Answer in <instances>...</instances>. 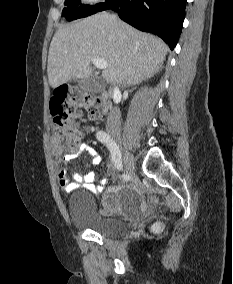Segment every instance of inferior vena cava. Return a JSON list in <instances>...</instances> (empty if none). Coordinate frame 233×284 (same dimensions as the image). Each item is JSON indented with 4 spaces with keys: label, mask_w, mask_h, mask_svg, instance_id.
Here are the masks:
<instances>
[{
    "label": "inferior vena cava",
    "mask_w": 233,
    "mask_h": 284,
    "mask_svg": "<svg viewBox=\"0 0 233 284\" xmlns=\"http://www.w3.org/2000/svg\"><path fill=\"white\" fill-rule=\"evenodd\" d=\"M121 113L120 110L117 108H114L110 111L107 125L110 129L118 130L121 125Z\"/></svg>",
    "instance_id": "inferior-vena-cava-1"
}]
</instances>
